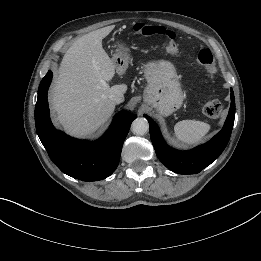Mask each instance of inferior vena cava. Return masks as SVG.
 <instances>
[{
    "label": "inferior vena cava",
    "instance_id": "1",
    "mask_svg": "<svg viewBox=\"0 0 261 261\" xmlns=\"http://www.w3.org/2000/svg\"><path fill=\"white\" fill-rule=\"evenodd\" d=\"M109 99L113 103L119 104V103H122L124 101V96L122 94H110Z\"/></svg>",
    "mask_w": 261,
    "mask_h": 261
}]
</instances>
